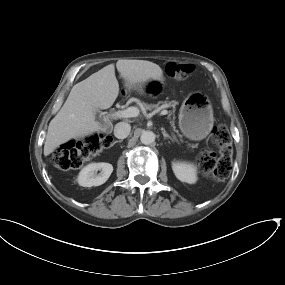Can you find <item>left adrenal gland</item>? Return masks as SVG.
I'll use <instances>...</instances> for the list:
<instances>
[{"label":"left adrenal gland","mask_w":285,"mask_h":285,"mask_svg":"<svg viewBox=\"0 0 285 285\" xmlns=\"http://www.w3.org/2000/svg\"><path fill=\"white\" fill-rule=\"evenodd\" d=\"M164 139H170L171 141H174V139L164 130L162 131Z\"/></svg>","instance_id":"a2214340"}]
</instances>
